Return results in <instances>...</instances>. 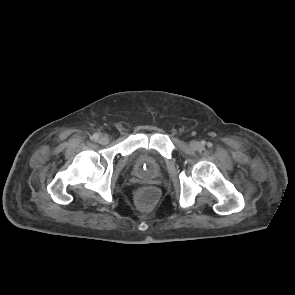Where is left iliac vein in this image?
I'll return each instance as SVG.
<instances>
[{
	"label": "left iliac vein",
	"instance_id": "left-iliac-vein-1",
	"mask_svg": "<svg viewBox=\"0 0 295 295\" xmlns=\"http://www.w3.org/2000/svg\"><path fill=\"white\" fill-rule=\"evenodd\" d=\"M190 147L193 148V149H198L201 147L200 143L197 142V141H191L190 142Z\"/></svg>",
	"mask_w": 295,
	"mask_h": 295
}]
</instances>
